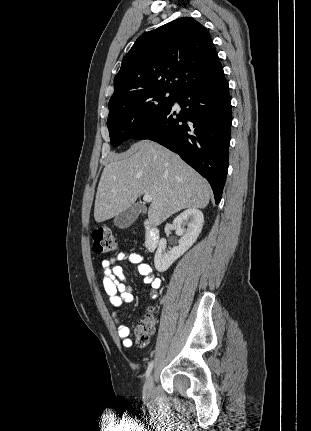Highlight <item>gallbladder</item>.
<instances>
[{
	"mask_svg": "<svg viewBox=\"0 0 311 431\" xmlns=\"http://www.w3.org/2000/svg\"><path fill=\"white\" fill-rule=\"evenodd\" d=\"M141 212H146V208L142 204H134L132 208H128L126 212H122L119 216H115L113 219L114 225L120 227V229H125V227H130L134 223L135 219L141 214Z\"/></svg>",
	"mask_w": 311,
	"mask_h": 431,
	"instance_id": "gallbladder-1",
	"label": "gallbladder"
}]
</instances>
